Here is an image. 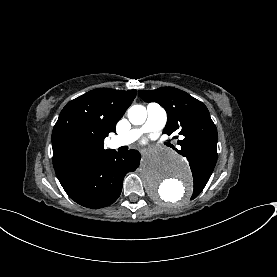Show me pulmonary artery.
<instances>
[{
    "label": "pulmonary artery",
    "mask_w": 277,
    "mask_h": 277,
    "mask_svg": "<svg viewBox=\"0 0 277 277\" xmlns=\"http://www.w3.org/2000/svg\"><path fill=\"white\" fill-rule=\"evenodd\" d=\"M167 122V113L164 109L148 105L144 109V121L138 128L115 137L111 144L115 147L126 146L136 141L143 133L160 131Z\"/></svg>",
    "instance_id": "obj_1"
}]
</instances>
